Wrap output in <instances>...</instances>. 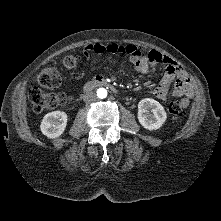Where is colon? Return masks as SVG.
<instances>
[{
  "mask_svg": "<svg viewBox=\"0 0 221 221\" xmlns=\"http://www.w3.org/2000/svg\"><path fill=\"white\" fill-rule=\"evenodd\" d=\"M78 64V57L68 55L63 59V65L67 69H74ZM38 83L43 88H56L60 84V74L56 67L50 66L43 69L38 76ZM29 100L35 112L42 113L67 104L70 96L64 93H48L34 87L29 91ZM189 106V100H173L168 105V112L173 116H181Z\"/></svg>",
  "mask_w": 221,
  "mask_h": 221,
  "instance_id": "obj_1",
  "label": "colon"
}]
</instances>
